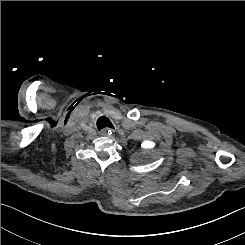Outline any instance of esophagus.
Instances as JSON below:
<instances>
[{"mask_svg":"<svg viewBox=\"0 0 245 245\" xmlns=\"http://www.w3.org/2000/svg\"><path fill=\"white\" fill-rule=\"evenodd\" d=\"M112 131H114V129L112 128H105L103 129L100 133L102 136H107L108 134H110Z\"/></svg>","mask_w":245,"mask_h":245,"instance_id":"34e87169","label":"esophagus"}]
</instances>
